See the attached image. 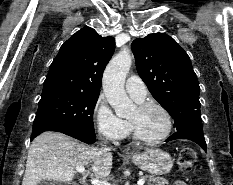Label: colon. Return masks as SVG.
I'll return each instance as SVG.
<instances>
[{"mask_svg":"<svg viewBox=\"0 0 233 185\" xmlns=\"http://www.w3.org/2000/svg\"><path fill=\"white\" fill-rule=\"evenodd\" d=\"M197 164V156L193 148L184 147L178 157L177 168L179 172L187 174L191 172Z\"/></svg>","mask_w":233,"mask_h":185,"instance_id":"obj_1","label":"colon"}]
</instances>
